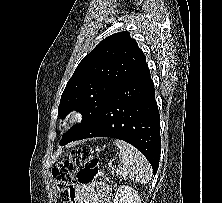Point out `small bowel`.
Returning a JSON list of instances; mask_svg holds the SVG:
<instances>
[{"label":"small bowel","mask_w":222,"mask_h":203,"mask_svg":"<svg viewBox=\"0 0 222 203\" xmlns=\"http://www.w3.org/2000/svg\"><path fill=\"white\" fill-rule=\"evenodd\" d=\"M110 189L101 183H78L72 186L70 203H110Z\"/></svg>","instance_id":"1"}]
</instances>
